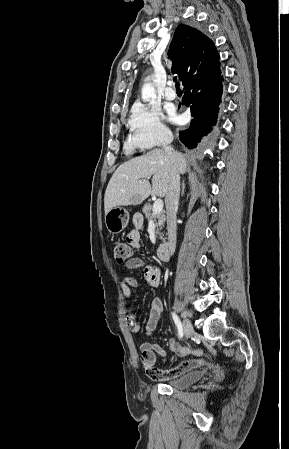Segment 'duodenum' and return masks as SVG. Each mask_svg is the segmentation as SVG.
<instances>
[{
	"instance_id": "410a0bca",
	"label": "duodenum",
	"mask_w": 289,
	"mask_h": 449,
	"mask_svg": "<svg viewBox=\"0 0 289 449\" xmlns=\"http://www.w3.org/2000/svg\"><path fill=\"white\" fill-rule=\"evenodd\" d=\"M157 256L161 261H167L169 259L170 252L168 244L164 243L159 245L157 248Z\"/></svg>"
}]
</instances>
